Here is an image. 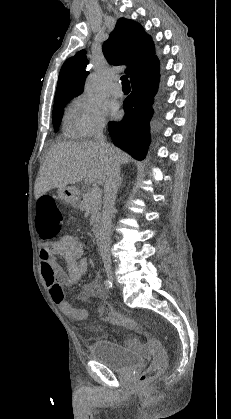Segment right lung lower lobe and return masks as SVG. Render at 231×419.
I'll return each mask as SVG.
<instances>
[{"instance_id":"98d812e1","label":"right lung lower lobe","mask_w":231,"mask_h":419,"mask_svg":"<svg viewBox=\"0 0 231 419\" xmlns=\"http://www.w3.org/2000/svg\"><path fill=\"white\" fill-rule=\"evenodd\" d=\"M160 80V62L130 78L132 92L124 101L125 116L120 122H109L110 136L115 145L143 160L150 144L149 122L153 115V97Z\"/></svg>"}]
</instances>
